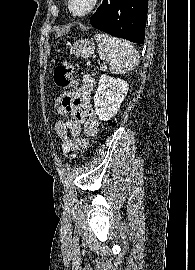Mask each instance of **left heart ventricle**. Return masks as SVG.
<instances>
[{"instance_id": "obj_1", "label": "left heart ventricle", "mask_w": 195, "mask_h": 270, "mask_svg": "<svg viewBox=\"0 0 195 270\" xmlns=\"http://www.w3.org/2000/svg\"><path fill=\"white\" fill-rule=\"evenodd\" d=\"M93 0H71V8L76 13H82L86 11Z\"/></svg>"}]
</instances>
